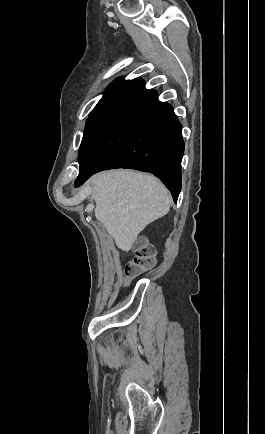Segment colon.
<instances>
[{
    "label": "colon",
    "instance_id": "5ec220e1",
    "mask_svg": "<svg viewBox=\"0 0 265 434\" xmlns=\"http://www.w3.org/2000/svg\"><path fill=\"white\" fill-rule=\"evenodd\" d=\"M133 259L125 268V274L121 280V287H125L130 280L143 276L155 265V251L153 247L139 240Z\"/></svg>",
    "mask_w": 265,
    "mask_h": 434
}]
</instances>
